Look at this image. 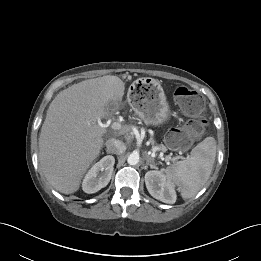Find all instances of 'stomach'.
I'll use <instances>...</instances> for the list:
<instances>
[{
	"label": "stomach",
	"instance_id": "stomach-1",
	"mask_svg": "<svg viewBox=\"0 0 261 261\" xmlns=\"http://www.w3.org/2000/svg\"><path fill=\"white\" fill-rule=\"evenodd\" d=\"M137 84V83H136ZM133 84V87L136 85ZM138 116L146 125L158 126L170 118V107L158 80H143L139 95L130 98Z\"/></svg>",
	"mask_w": 261,
	"mask_h": 261
}]
</instances>
